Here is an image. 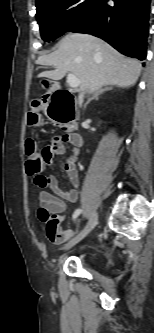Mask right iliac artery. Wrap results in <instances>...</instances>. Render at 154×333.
Masks as SVG:
<instances>
[{
	"label": "right iliac artery",
	"instance_id": "obj_1",
	"mask_svg": "<svg viewBox=\"0 0 154 333\" xmlns=\"http://www.w3.org/2000/svg\"><path fill=\"white\" fill-rule=\"evenodd\" d=\"M81 212H82L81 209H77L73 214V219H76L81 214Z\"/></svg>",
	"mask_w": 154,
	"mask_h": 333
}]
</instances>
